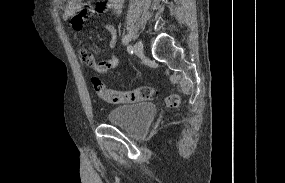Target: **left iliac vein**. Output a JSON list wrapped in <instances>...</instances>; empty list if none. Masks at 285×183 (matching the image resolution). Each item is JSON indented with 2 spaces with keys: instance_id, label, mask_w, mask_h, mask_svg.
<instances>
[{
  "instance_id": "left-iliac-vein-1",
  "label": "left iliac vein",
  "mask_w": 285,
  "mask_h": 183,
  "mask_svg": "<svg viewBox=\"0 0 285 183\" xmlns=\"http://www.w3.org/2000/svg\"><path fill=\"white\" fill-rule=\"evenodd\" d=\"M133 50L136 53V55L142 56L143 55V44H142V42L137 41L133 46Z\"/></svg>"
}]
</instances>
